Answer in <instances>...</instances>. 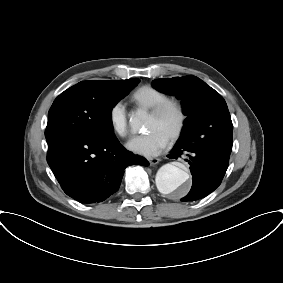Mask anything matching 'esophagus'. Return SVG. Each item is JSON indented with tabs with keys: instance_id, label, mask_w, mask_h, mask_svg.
I'll use <instances>...</instances> for the list:
<instances>
[{
	"instance_id": "34e87169",
	"label": "esophagus",
	"mask_w": 283,
	"mask_h": 283,
	"mask_svg": "<svg viewBox=\"0 0 283 283\" xmlns=\"http://www.w3.org/2000/svg\"><path fill=\"white\" fill-rule=\"evenodd\" d=\"M160 159L159 158H149L148 162L150 165H155L157 163H159Z\"/></svg>"
}]
</instances>
